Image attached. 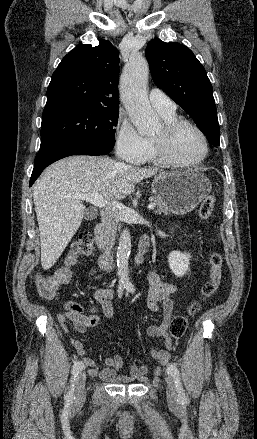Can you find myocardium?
I'll use <instances>...</instances> for the list:
<instances>
[{"instance_id":"1","label":"myocardium","mask_w":257,"mask_h":439,"mask_svg":"<svg viewBox=\"0 0 257 439\" xmlns=\"http://www.w3.org/2000/svg\"><path fill=\"white\" fill-rule=\"evenodd\" d=\"M185 127H189L195 130L201 137L204 144V152L202 156L193 162H182L177 160L173 156L170 148L173 137L178 131ZM153 140L160 160L181 169H190L197 167L207 158L210 151L209 141L203 130L193 122L184 119H176L171 122H164L162 126V132L159 135H155L153 137Z\"/></svg>"}]
</instances>
